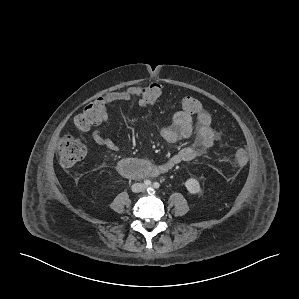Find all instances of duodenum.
I'll return each instance as SVG.
<instances>
[{
	"instance_id": "obj_1",
	"label": "duodenum",
	"mask_w": 299,
	"mask_h": 299,
	"mask_svg": "<svg viewBox=\"0 0 299 299\" xmlns=\"http://www.w3.org/2000/svg\"><path fill=\"white\" fill-rule=\"evenodd\" d=\"M147 163L140 159L129 158L120 161L118 171L126 177H140L145 174Z\"/></svg>"
}]
</instances>
